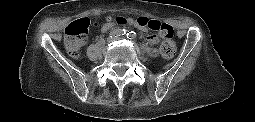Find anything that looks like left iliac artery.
Masks as SVG:
<instances>
[{
	"mask_svg": "<svg viewBox=\"0 0 255 122\" xmlns=\"http://www.w3.org/2000/svg\"><path fill=\"white\" fill-rule=\"evenodd\" d=\"M126 36L128 39H133L135 37V32L131 31Z\"/></svg>",
	"mask_w": 255,
	"mask_h": 122,
	"instance_id": "1",
	"label": "left iliac artery"
}]
</instances>
